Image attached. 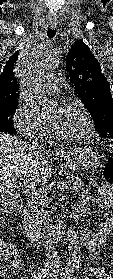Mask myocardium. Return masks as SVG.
Returning <instances> with one entry per match:
<instances>
[{"label": "myocardium", "mask_w": 113, "mask_h": 279, "mask_svg": "<svg viewBox=\"0 0 113 279\" xmlns=\"http://www.w3.org/2000/svg\"><path fill=\"white\" fill-rule=\"evenodd\" d=\"M66 106H73L80 111V113L83 117V121H84L83 129L80 133H78L76 135L64 136V135L59 134L52 126L49 125L51 130L54 133V136L57 139L64 141V142H77V141H81V140L87 138L93 128V122H92L90 113L88 112L86 107L78 100L68 99L62 105V107H66Z\"/></svg>", "instance_id": "myocardium-1"}]
</instances>
